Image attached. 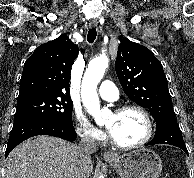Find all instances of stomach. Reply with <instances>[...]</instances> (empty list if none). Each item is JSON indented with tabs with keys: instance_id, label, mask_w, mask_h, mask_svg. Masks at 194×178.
<instances>
[{
	"instance_id": "0dacf381",
	"label": "stomach",
	"mask_w": 194,
	"mask_h": 178,
	"mask_svg": "<svg viewBox=\"0 0 194 178\" xmlns=\"http://www.w3.org/2000/svg\"><path fill=\"white\" fill-rule=\"evenodd\" d=\"M121 178H159L162 161L157 153L142 148L126 154H114L105 159Z\"/></svg>"
}]
</instances>
